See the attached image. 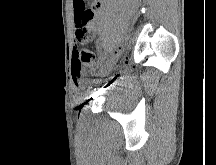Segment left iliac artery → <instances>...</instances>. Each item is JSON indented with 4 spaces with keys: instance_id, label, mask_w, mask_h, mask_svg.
I'll return each instance as SVG.
<instances>
[{
    "instance_id": "left-iliac-artery-1",
    "label": "left iliac artery",
    "mask_w": 216,
    "mask_h": 165,
    "mask_svg": "<svg viewBox=\"0 0 216 165\" xmlns=\"http://www.w3.org/2000/svg\"><path fill=\"white\" fill-rule=\"evenodd\" d=\"M105 59H106V54H105V55H102V58H100V62H99V63H100V64H99V65H100V66H99V67H100V68H99V71H100V72H103V71H104V68H103L104 66H103V65L105 64Z\"/></svg>"
}]
</instances>
